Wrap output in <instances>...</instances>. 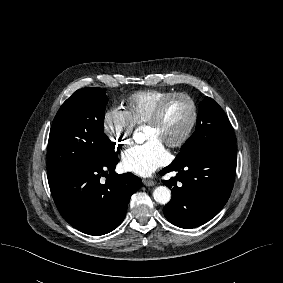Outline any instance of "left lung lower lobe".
I'll return each instance as SVG.
<instances>
[{"instance_id": "obj_1", "label": "left lung lower lobe", "mask_w": 283, "mask_h": 283, "mask_svg": "<svg viewBox=\"0 0 283 283\" xmlns=\"http://www.w3.org/2000/svg\"><path fill=\"white\" fill-rule=\"evenodd\" d=\"M236 163L237 147L232 145L193 154L162 169L161 175L177 172L176 177L162 181L172 191L163 209L167 220L181 228H194L212 219L229 199Z\"/></svg>"}]
</instances>
